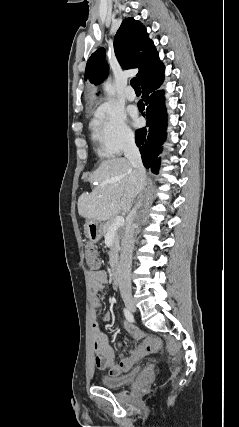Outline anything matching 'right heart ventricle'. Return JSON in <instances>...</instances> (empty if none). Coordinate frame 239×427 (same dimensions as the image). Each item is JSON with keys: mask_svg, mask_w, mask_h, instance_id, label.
Wrapping results in <instances>:
<instances>
[{"mask_svg": "<svg viewBox=\"0 0 239 427\" xmlns=\"http://www.w3.org/2000/svg\"><path fill=\"white\" fill-rule=\"evenodd\" d=\"M92 138L96 143V152H97L98 156L109 157L112 155V153L104 145L102 138H101V135L99 134V132L97 131L95 126L93 127Z\"/></svg>", "mask_w": 239, "mask_h": 427, "instance_id": "obj_1", "label": "right heart ventricle"}]
</instances>
